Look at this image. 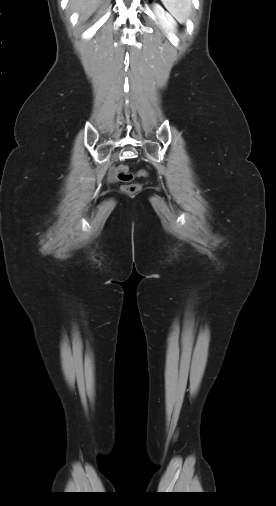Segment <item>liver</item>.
<instances>
[{
    "mask_svg": "<svg viewBox=\"0 0 276 506\" xmlns=\"http://www.w3.org/2000/svg\"><path fill=\"white\" fill-rule=\"evenodd\" d=\"M102 0H70V8L80 14V21L88 19Z\"/></svg>",
    "mask_w": 276,
    "mask_h": 506,
    "instance_id": "obj_1",
    "label": "liver"
}]
</instances>
